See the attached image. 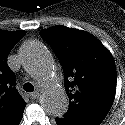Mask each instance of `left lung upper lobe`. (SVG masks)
<instances>
[{"instance_id": "obj_1", "label": "left lung upper lobe", "mask_w": 125, "mask_h": 125, "mask_svg": "<svg viewBox=\"0 0 125 125\" xmlns=\"http://www.w3.org/2000/svg\"><path fill=\"white\" fill-rule=\"evenodd\" d=\"M59 58L69 109L63 118L100 125L115 97L117 73L111 53L90 33L66 26L40 31Z\"/></svg>"}]
</instances>
